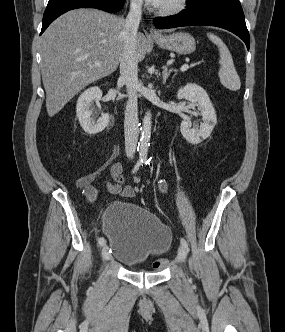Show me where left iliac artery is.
<instances>
[{
    "mask_svg": "<svg viewBox=\"0 0 285 332\" xmlns=\"http://www.w3.org/2000/svg\"><path fill=\"white\" fill-rule=\"evenodd\" d=\"M145 164H146V165H149V161H147ZM180 242H181V245H182V246L188 251L189 248H188V243H187V241H186L184 238H181V239H180Z\"/></svg>",
    "mask_w": 285,
    "mask_h": 332,
    "instance_id": "1",
    "label": "left iliac artery"
}]
</instances>
